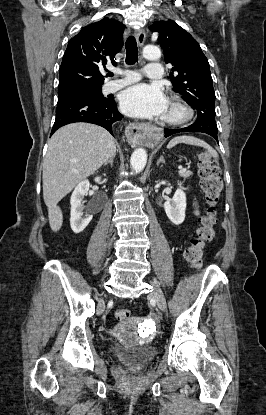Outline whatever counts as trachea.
<instances>
[{
	"label": "trachea",
	"instance_id": "trachea-1",
	"mask_svg": "<svg viewBox=\"0 0 266 415\" xmlns=\"http://www.w3.org/2000/svg\"><path fill=\"white\" fill-rule=\"evenodd\" d=\"M126 64L133 65L138 60V48L134 36L128 37L126 41ZM112 73H109V76H112Z\"/></svg>",
	"mask_w": 266,
	"mask_h": 415
}]
</instances>
